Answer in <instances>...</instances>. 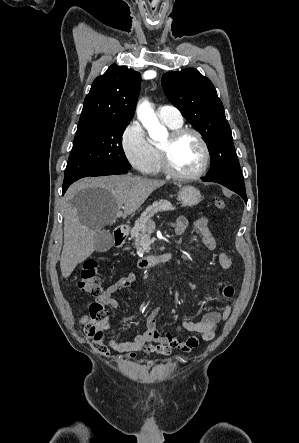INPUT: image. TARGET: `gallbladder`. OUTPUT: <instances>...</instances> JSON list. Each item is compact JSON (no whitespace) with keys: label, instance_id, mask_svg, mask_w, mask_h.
<instances>
[{"label":"gallbladder","instance_id":"obj_1","mask_svg":"<svg viewBox=\"0 0 299 443\" xmlns=\"http://www.w3.org/2000/svg\"><path fill=\"white\" fill-rule=\"evenodd\" d=\"M95 250L106 252L113 245V238L109 231H98L94 237Z\"/></svg>","mask_w":299,"mask_h":443}]
</instances>
